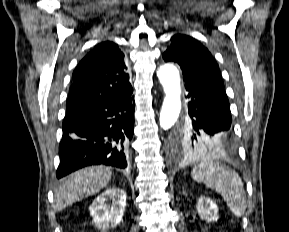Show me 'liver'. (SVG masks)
Returning <instances> with one entry per match:
<instances>
[{
  "label": "liver",
  "mask_w": 289,
  "mask_h": 232,
  "mask_svg": "<svg viewBox=\"0 0 289 232\" xmlns=\"http://www.w3.org/2000/svg\"><path fill=\"white\" fill-rule=\"evenodd\" d=\"M111 176V169L104 166H90L72 173L60 181L55 192V210L60 211L82 198L98 193L107 186Z\"/></svg>",
  "instance_id": "obj_1"
}]
</instances>
